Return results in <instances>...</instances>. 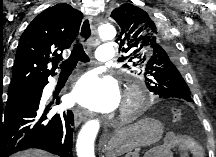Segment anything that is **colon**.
<instances>
[{"label": "colon", "instance_id": "5ec220e1", "mask_svg": "<svg viewBox=\"0 0 216 157\" xmlns=\"http://www.w3.org/2000/svg\"><path fill=\"white\" fill-rule=\"evenodd\" d=\"M182 111L179 109L172 110V118L174 121H180L182 119Z\"/></svg>", "mask_w": 216, "mask_h": 157}]
</instances>
